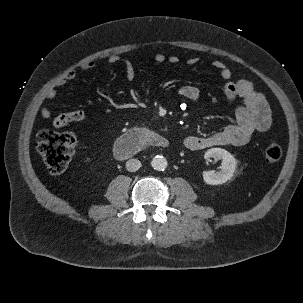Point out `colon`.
Masks as SVG:
<instances>
[{
  "label": "colon",
  "instance_id": "1",
  "mask_svg": "<svg viewBox=\"0 0 303 303\" xmlns=\"http://www.w3.org/2000/svg\"><path fill=\"white\" fill-rule=\"evenodd\" d=\"M76 137L72 132L41 130L36 137V148L44 160L50 173L59 175L67 167L75 151ZM282 149L278 143H270L264 150L267 163L280 160Z\"/></svg>",
  "mask_w": 303,
  "mask_h": 303
}]
</instances>
